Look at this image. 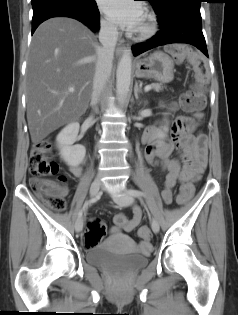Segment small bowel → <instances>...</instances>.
I'll list each match as a JSON object with an SVG mask.
<instances>
[{"mask_svg":"<svg viewBox=\"0 0 238 315\" xmlns=\"http://www.w3.org/2000/svg\"><path fill=\"white\" fill-rule=\"evenodd\" d=\"M162 125L153 126L142 136L147 143L145 157L149 164L159 166L166 171L162 198L166 203L173 199V189L176 184L181 183V189L188 187L193 190V183L199 178L207 163V138L204 134L194 135L195 122L190 118H180L172 126L174 132L173 142L161 141V135L158 132ZM174 149L182 152L184 166L181 168L178 160L172 158ZM74 175L81 174V167L71 168ZM180 189V190H181ZM60 194L66 195L67 188H61ZM143 217L142 210L135 206L132 211V217L127 220L123 227L125 231H131L136 228ZM113 232H118L119 228L114 227ZM141 252L151 250L150 240L144 239L139 243Z\"/></svg>","mask_w":238,"mask_h":315,"instance_id":"c3829d8e","label":"small bowel"}]
</instances>
